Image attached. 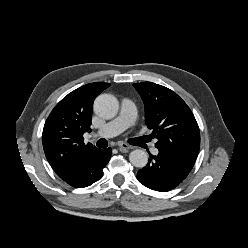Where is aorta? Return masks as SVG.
<instances>
[{
	"instance_id": "obj_1",
	"label": "aorta",
	"mask_w": 248,
	"mask_h": 248,
	"mask_svg": "<svg viewBox=\"0 0 248 248\" xmlns=\"http://www.w3.org/2000/svg\"><path fill=\"white\" fill-rule=\"evenodd\" d=\"M94 109L100 117L110 119L116 116L119 110V103L115 96L111 94L99 95L94 103ZM132 165L137 168H143L148 162V155L144 150H133L129 155Z\"/></svg>"
}]
</instances>
